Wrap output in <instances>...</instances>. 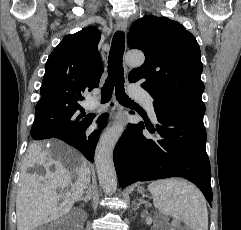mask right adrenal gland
<instances>
[{
    "instance_id": "2a0ac1e0",
    "label": "right adrenal gland",
    "mask_w": 241,
    "mask_h": 230,
    "mask_svg": "<svg viewBox=\"0 0 241 230\" xmlns=\"http://www.w3.org/2000/svg\"><path fill=\"white\" fill-rule=\"evenodd\" d=\"M91 199V186H88V189L86 191V195L84 197H81L78 199V201H83L84 203H88Z\"/></svg>"
}]
</instances>
